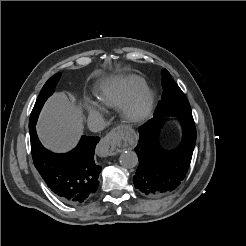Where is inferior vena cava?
<instances>
[{"label":"inferior vena cava","instance_id":"obj_1","mask_svg":"<svg viewBox=\"0 0 246 246\" xmlns=\"http://www.w3.org/2000/svg\"><path fill=\"white\" fill-rule=\"evenodd\" d=\"M87 124H88V128L92 132H100L106 126L104 118L100 115L89 116L87 120Z\"/></svg>","mask_w":246,"mask_h":246}]
</instances>
